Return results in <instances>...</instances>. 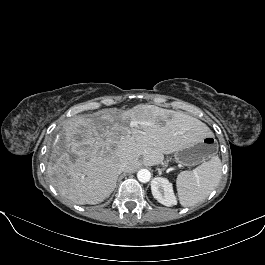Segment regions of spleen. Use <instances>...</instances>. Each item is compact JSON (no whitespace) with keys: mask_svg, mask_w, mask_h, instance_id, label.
Instances as JSON below:
<instances>
[{"mask_svg":"<svg viewBox=\"0 0 265 265\" xmlns=\"http://www.w3.org/2000/svg\"><path fill=\"white\" fill-rule=\"evenodd\" d=\"M222 164L213 156L192 171L181 172L176 179L180 204L191 207L203 200L215 189L221 179Z\"/></svg>","mask_w":265,"mask_h":265,"instance_id":"3e777b00","label":"spleen"}]
</instances>
